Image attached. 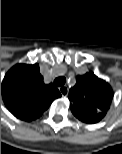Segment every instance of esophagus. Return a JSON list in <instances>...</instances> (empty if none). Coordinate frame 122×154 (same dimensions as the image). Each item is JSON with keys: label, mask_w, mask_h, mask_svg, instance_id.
<instances>
[{"label": "esophagus", "mask_w": 122, "mask_h": 154, "mask_svg": "<svg viewBox=\"0 0 122 154\" xmlns=\"http://www.w3.org/2000/svg\"><path fill=\"white\" fill-rule=\"evenodd\" d=\"M59 91L62 94V96L66 97L68 95L69 89L67 86H62L59 88Z\"/></svg>", "instance_id": "obj_1"}]
</instances>
